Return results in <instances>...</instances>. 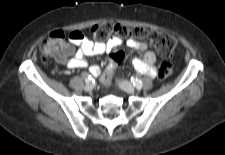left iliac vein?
I'll use <instances>...</instances> for the list:
<instances>
[{"label": "left iliac vein", "mask_w": 225, "mask_h": 155, "mask_svg": "<svg viewBox=\"0 0 225 155\" xmlns=\"http://www.w3.org/2000/svg\"><path fill=\"white\" fill-rule=\"evenodd\" d=\"M118 85L122 90H124L127 93L134 94L136 92L134 86L128 81L120 80L118 81Z\"/></svg>", "instance_id": "obj_1"}]
</instances>
